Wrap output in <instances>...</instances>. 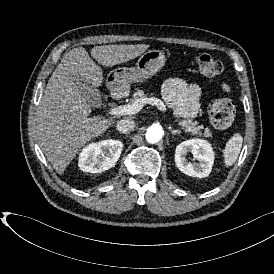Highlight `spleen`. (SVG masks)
I'll use <instances>...</instances> for the list:
<instances>
[{"label":"spleen","mask_w":274,"mask_h":274,"mask_svg":"<svg viewBox=\"0 0 274 274\" xmlns=\"http://www.w3.org/2000/svg\"><path fill=\"white\" fill-rule=\"evenodd\" d=\"M242 144L243 136L239 131L234 132L233 135L227 139L223 149V165L225 168L234 165L242 149Z\"/></svg>","instance_id":"spleen-1"}]
</instances>
